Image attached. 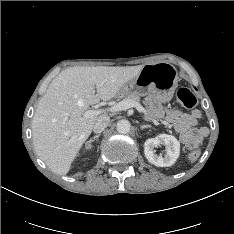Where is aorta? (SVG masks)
<instances>
[{
  "label": "aorta",
  "mask_w": 234,
  "mask_h": 234,
  "mask_svg": "<svg viewBox=\"0 0 234 234\" xmlns=\"http://www.w3.org/2000/svg\"><path fill=\"white\" fill-rule=\"evenodd\" d=\"M131 124L128 120L122 119L117 122L116 129L121 134L129 133Z\"/></svg>",
  "instance_id": "aorta-1"
}]
</instances>
